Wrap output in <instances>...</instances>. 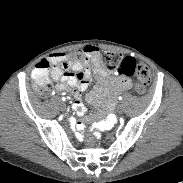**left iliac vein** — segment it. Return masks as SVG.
I'll list each match as a JSON object with an SVG mask.
<instances>
[{
	"label": "left iliac vein",
	"instance_id": "obj_1",
	"mask_svg": "<svg viewBox=\"0 0 183 183\" xmlns=\"http://www.w3.org/2000/svg\"><path fill=\"white\" fill-rule=\"evenodd\" d=\"M117 111H118L119 113H122L123 108H122V106H121V105H118V106H117Z\"/></svg>",
	"mask_w": 183,
	"mask_h": 183
}]
</instances>
